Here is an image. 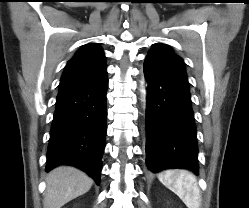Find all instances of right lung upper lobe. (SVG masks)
Listing matches in <instances>:
<instances>
[{
	"instance_id": "cb5924a9",
	"label": "right lung upper lobe",
	"mask_w": 249,
	"mask_h": 208,
	"mask_svg": "<svg viewBox=\"0 0 249 208\" xmlns=\"http://www.w3.org/2000/svg\"><path fill=\"white\" fill-rule=\"evenodd\" d=\"M106 73V59L102 48L96 43L86 44L68 61L60 80L59 91L92 82Z\"/></svg>"
}]
</instances>
